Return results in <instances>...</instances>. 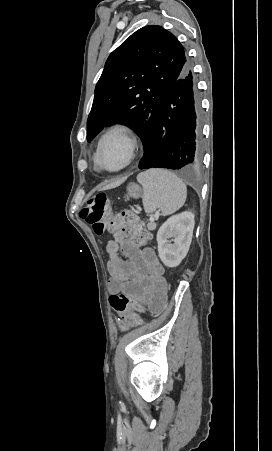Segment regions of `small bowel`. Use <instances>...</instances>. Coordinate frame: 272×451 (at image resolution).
Listing matches in <instances>:
<instances>
[{"mask_svg": "<svg viewBox=\"0 0 272 451\" xmlns=\"http://www.w3.org/2000/svg\"><path fill=\"white\" fill-rule=\"evenodd\" d=\"M105 250L109 291L112 294L131 293L137 298L149 296L152 307L161 308L165 302L164 268L156 252L150 247L139 249L134 246L129 241V235L128 238L108 241Z\"/></svg>", "mask_w": 272, "mask_h": 451, "instance_id": "obj_1", "label": "small bowel"}]
</instances>
